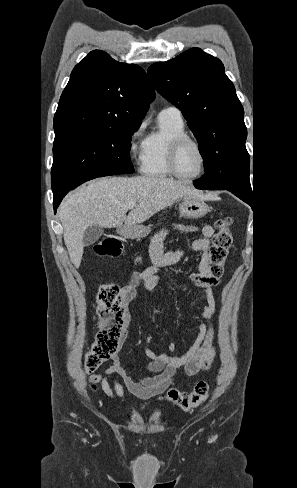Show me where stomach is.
Returning a JSON list of instances; mask_svg holds the SVG:
<instances>
[{
    "label": "stomach",
    "instance_id": "1",
    "mask_svg": "<svg viewBox=\"0 0 297 488\" xmlns=\"http://www.w3.org/2000/svg\"><path fill=\"white\" fill-rule=\"evenodd\" d=\"M182 217L198 219L204 217L209 212L208 205L197 197H185L179 206ZM150 232V227L143 225L122 226L118 233L123 238L135 239L146 237Z\"/></svg>",
    "mask_w": 297,
    "mask_h": 488
}]
</instances>
